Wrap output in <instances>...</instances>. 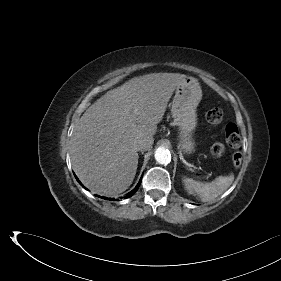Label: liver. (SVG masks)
Listing matches in <instances>:
<instances>
[{
  "instance_id": "liver-1",
  "label": "liver",
  "mask_w": 281,
  "mask_h": 281,
  "mask_svg": "<svg viewBox=\"0 0 281 281\" xmlns=\"http://www.w3.org/2000/svg\"><path fill=\"white\" fill-rule=\"evenodd\" d=\"M185 77L179 73L134 77L87 108L70 144L72 168L87 188L107 196L128 189L138 165L137 141L153 138Z\"/></svg>"
}]
</instances>
